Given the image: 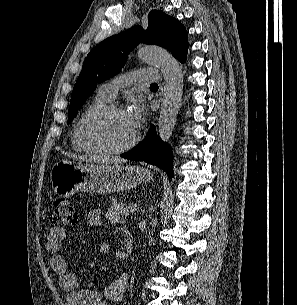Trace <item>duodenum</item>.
I'll use <instances>...</instances> for the list:
<instances>
[{
    "label": "duodenum",
    "mask_w": 297,
    "mask_h": 305,
    "mask_svg": "<svg viewBox=\"0 0 297 305\" xmlns=\"http://www.w3.org/2000/svg\"><path fill=\"white\" fill-rule=\"evenodd\" d=\"M125 248L128 252L132 253L135 249L134 241L132 238H127L125 240Z\"/></svg>",
    "instance_id": "duodenum-1"
}]
</instances>
